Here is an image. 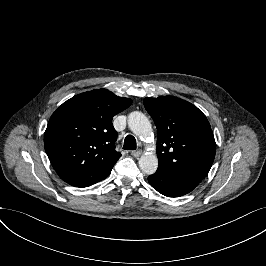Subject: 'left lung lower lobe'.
<instances>
[{
    "mask_svg": "<svg viewBox=\"0 0 266 266\" xmlns=\"http://www.w3.org/2000/svg\"><path fill=\"white\" fill-rule=\"evenodd\" d=\"M151 186L167 197H180L195 189L197 185L175 177L164 171L157 170L148 177Z\"/></svg>",
    "mask_w": 266,
    "mask_h": 266,
    "instance_id": "1",
    "label": "left lung lower lobe"
}]
</instances>
